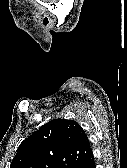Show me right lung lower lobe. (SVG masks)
Segmentation results:
<instances>
[{"instance_id":"1","label":"right lung lower lobe","mask_w":127,"mask_h":168,"mask_svg":"<svg viewBox=\"0 0 127 168\" xmlns=\"http://www.w3.org/2000/svg\"><path fill=\"white\" fill-rule=\"evenodd\" d=\"M74 168H95V163H94L93 157L79 163Z\"/></svg>"}]
</instances>
